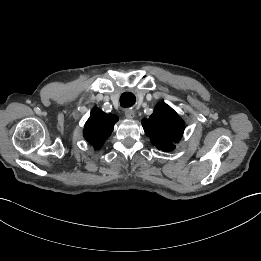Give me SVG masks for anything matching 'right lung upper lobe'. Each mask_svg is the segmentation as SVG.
Returning <instances> with one entry per match:
<instances>
[{
	"label": "right lung upper lobe",
	"instance_id": "1",
	"mask_svg": "<svg viewBox=\"0 0 261 261\" xmlns=\"http://www.w3.org/2000/svg\"><path fill=\"white\" fill-rule=\"evenodd\" d=\"M117 117L94 109L84 129V137L96 149L100 148L113 130Z\"/></svg>",
	"mask_w": 261,
	"mask_h": 261
}]
</instances>
